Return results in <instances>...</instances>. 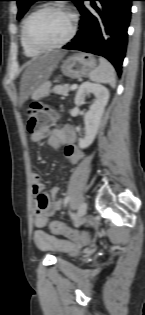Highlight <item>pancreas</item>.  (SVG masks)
Segmentation results:
<instances>
[{
  "label": "pancreas",
  "mask_w": 145,
  "mask_h": 315,
  "mask_svg": "<svg viewBox=\"0 0 145 315\" xmlns=\"http://www.w3.org/2000/svg\"><path fill=\"white\" fill-rule=\"evenodd\" d=\"M69 89H70V84H64V85H56L55 87H53L51 91L55 94L66 96L69 92Z\"/></svg>",
  "instance_id": "1"
}]
</instances>
